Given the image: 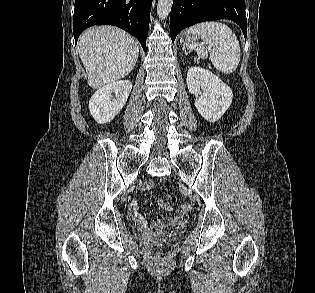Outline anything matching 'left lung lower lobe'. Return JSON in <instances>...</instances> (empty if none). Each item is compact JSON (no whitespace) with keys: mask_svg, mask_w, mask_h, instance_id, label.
Instances as JSON below:
<instances>
[{"mask_svg":"<svg viewBox=\"0 0 315 293\" xmlns=\"http://www.w3.org/2000/svg\"><path fill=\"white\" fill-rule=\"evenodd\" d=\"M230 19L237 23L246 39L247 19L244 0H174L170 14L172 41L186 27L203 21Z\"/></svg>","mask_w":315,"mask_h":293,"instance_id":"obj_1","label":"left lung lower lobe"}]
</instances>
